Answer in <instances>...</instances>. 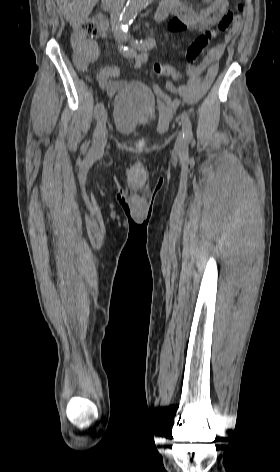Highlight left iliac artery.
Wrapping results in <instances>:
<instances>
[{"label": "left iliac artery", "instance_id": "1", "mask_svg": "<svg viewBox=\"0 0 280 472\" xmlns=\"http://www.w3.org/2000/svg\"><path fill=\"white\" fill-rule=\"evenodd\" d=\"M124 31L127 34L128 26L124 27ZM155 44H156L155 39L148 38L145 40L133 42L132 46H134L138 50L147 51L149 49H152L155 46ZM177 78H178L177 76L174 77L175 80H177ZM181 122H182L183 136L185 137L187 141H191L193 139L192 124L187 114L183 113L181 115Z\"/></svg>", "mask_w": 280, "mask_h": 472}]
</instances>
